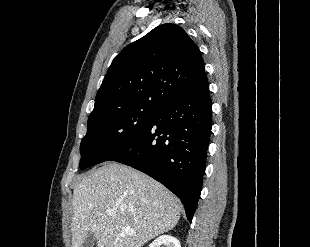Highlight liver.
<instances>
[{
	"mask_svg": "<svg viewBox=\"0 0 310 247\" xmlns=\"http://www.w3.org/2000/svg\"><path fill=\"white\" fill-rule=\"evenodd\" d=\"M72 205V247H81L89 233L95 235L97 247H142L172 230L182 209L180 200L162 184L116 162L82 177ZM125 227L135 234H128Z\"/></svg>",
	"mask_w": 310,
	"mask_h": 247,
	"instance_id": "liver-1",
	"label": "liver"
}]
</instances>
